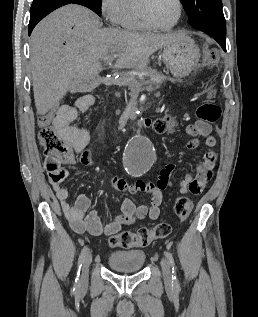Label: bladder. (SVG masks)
<instances>
[{
  "label": "bladder",
  "mask_w": 258,
  "mask_h": 317,
  "mask_svg": "<svg viewBox=\"0 0 258 317\" xmlns=\"http://www.w3.org/2000/svg\"><path fill=\"white\" fill-rule=\"evenodd\" d=\"M146 255L142 250H120L108 255V264L117 271H139L143 268Z\"/></svg>",
  "instance_id": "bladder-1"
}]
</instances>
